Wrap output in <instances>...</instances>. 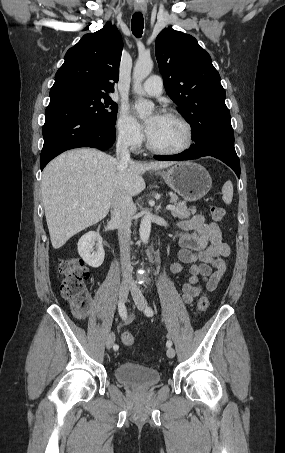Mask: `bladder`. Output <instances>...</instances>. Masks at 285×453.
Listing matches in <instances>:
<instances>
[{"mask_svg":"<svg viewBox=\"0 0 285 453\" xmlns=\"http://www.w3.org/2000/svg\"><path fill=\"white\" fill-rule=\"evenodd\" d=\"M115 378L128 386L149 388L159 383L161 375L158 370L135 363H123L114 370Z\"/></svg>","mask_w":285,"mask_h":453,"instance_id":"bladder-1","label":"bladder"}]
</instances>
